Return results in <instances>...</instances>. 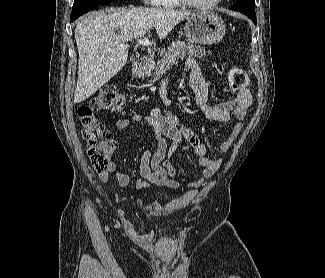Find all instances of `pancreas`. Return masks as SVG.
Instances as JSON below:
<instances>
[{
	"instance_id": "cf45deb5",
	"label": "pancreas",
	"mask_w": 325,
	"mask_h": 278,
	"mask_svg": "<svg viewBox=\"0 0 325 278\" xmlns=\"http://www.w3.org/2000/svg\"><path fill=\"white\" fill-rule=\"evenodd\" d=\"M207 54H210V51H206V49L201 46L179 40L172 42L164 56L157 62L154 80L160 79L173 65L178 63V60L183 59L186 55L202 59Z\"/></svg>"
}]
</instances>
